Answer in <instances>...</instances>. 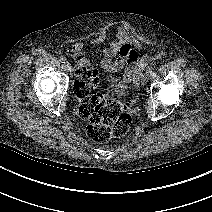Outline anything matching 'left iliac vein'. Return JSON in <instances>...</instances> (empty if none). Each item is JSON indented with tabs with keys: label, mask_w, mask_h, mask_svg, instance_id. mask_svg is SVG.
Listing matches in <instances>:
<instances>
[{
	"label": "left iliac vein",
	"mask_w": 212,
	"mask_h": 212,
	"mask_svg": "<svg viewBox=\"0 0 212 212\" xmlns=\"http://www.w3.org/2000/svg\"><path fill=\"white\" fill-rule=\"evenodd\" d=\"M148 80H149V74L146 73L143 75V77L141 79V84L145 85L148 82Z\"/></svg>",
	"instance_id": "left-iliac-vein-1"
}]
</instances>
